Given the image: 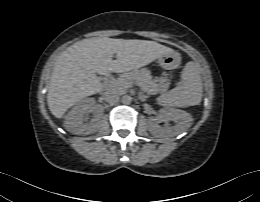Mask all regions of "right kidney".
<instances>
[{
	"mask_svg": "<svg viewBox=\"0 0 260 202\" xmlns=\"http://www.w3.org/2000/svg\"><path fill=\"white\" fill-rule=\"evenodd\" d=\"M93 113V118L88 122V114ZM103 109L97 105L93 98L79 101L65 116L64 126L67 131L77 135L95 133L100 127Z\"/></svg>",
	"mask_w": 260,
	"mask_h": 202,
	"instance_id": "obj_1",
	"label": "right kidney"
}]
</instances>
